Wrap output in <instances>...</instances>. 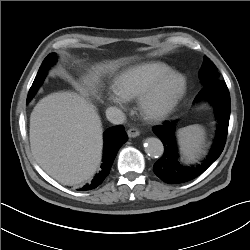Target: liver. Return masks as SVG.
I'll use <instances>...</instances> for the list:
<instances>
[{
	"label": "liver",
	"mask_w": 250,
	"mask_h": 250,
	"mask_svg": "<svg viewBox=\"0 0 250 250\" xmlns=\"http://www.w3.org/2000/svg\"><path fill=\"white\" fill-rule=\"evenodd\" d=\"M97 70L83 77V85L97 81ZM80 94L56 92L42 98L30 116V144L37 163L64 185H78L96 172L102 156V123L94 106Z\"/></svg>",
	"instance_id": "1"
}]
</instances>
